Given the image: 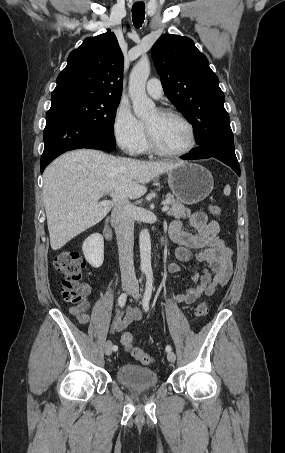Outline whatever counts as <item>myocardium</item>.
Masks as SVG:
<instances>
[{
    "label": "myocardium",
    "instance_id": "f54148a6",
    "mask_svg": "<svg viewBox=\"0 0 285 453\" xmlns=\"http://www.w3.org/2000/svg\"><path fill=\"white\" fill-rule=\"evenodd\" d=\"M157 112L160 116L174 117V118L181 120L189 129L190 143L185 149H183L181 151L172 152V151L164 150L163 148H161L159 146V144L155 140L153 134L151 133L150 129L145 125L146 140H147L149 150L157 155L171 157V158H179V157H183V156L189 154L196 147V144H197L196 130H195V127L192 124V122L187 117H185L183 114H181L180 112H178L176 110L160 109Z\"/></svg>",
    "mask_w": 285,
    "mask_h": 453
}]
</instances>
